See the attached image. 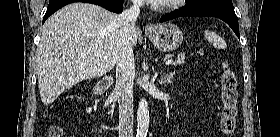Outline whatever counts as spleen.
I'll use <instances>...</instances> for the list:
<instances>
[{"label": "spleen", "mask_w": 280, "mask_h": 137, "mask_svg": "<svg viewBox=\"0 0 280 137\" xmlns=\"http://www.w3.org/2000/svg\"><path fill=\"white\" fill-rule=\"evenodd\" d=\"M207 41L213 44L214 47L218 49H225L227 47L226 42L217 33L210 30L204 32Z\"/></svg>", "instance_id": "obj_1"}]
</instances>
